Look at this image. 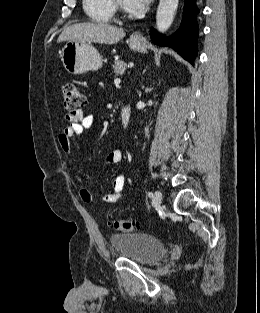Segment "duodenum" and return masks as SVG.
Here are the masks:
<instances>
[{
    "instance_id": "410a0bca",
    "label": "duodenum",
    "mask_w": 260,
    "mask_h": 313,
    "mask_svg": "<svg viewBox=\"0 0 260 313\" xmlns=\"http://www.w3.org/2000/svg\"><path fill=\"white\" fill-rule=\"evenodd\" d=\"M131 120V108L128 104L124 103L122 105V113H121V124L123 129H128Z\"/></svg>"
}]
</instances>
